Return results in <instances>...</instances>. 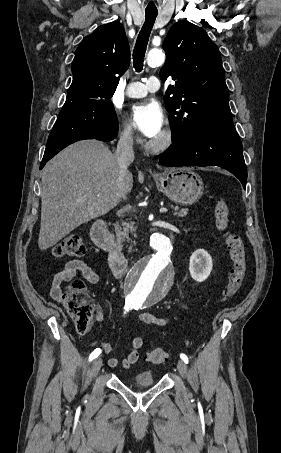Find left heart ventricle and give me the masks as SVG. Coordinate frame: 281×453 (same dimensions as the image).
Masks as SVG:
<instances>
[{
    "instance_id": "left-heart-ventricle-1",
    "label": "left heart ventricle",
    "mask_w": 281,
    "mask_h": 453,
    "mask_svg": "<svg viewBox=\"0 0 281 453\" xmlns=\"http://www.w3.org/2000/svg\"><path fill=\"white\" fill-rule=\"evenodd\" d=\"M162 135H163V129L158 134H156L155 136H153L150 139L151 140H160L162 138Z\"/></svg>"
}]
</instances>
